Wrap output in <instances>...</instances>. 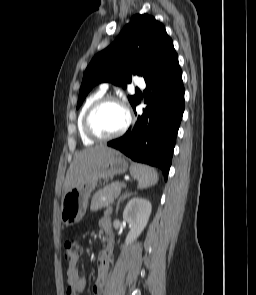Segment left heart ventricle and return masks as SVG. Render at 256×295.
I'll return each mask as SVG.
<instances>
[{
    "label": "left heart ventricle",
    "instance_id": "b2bd125f",
    "mask_svg": "<svg viewBox=\"0 0 256 295\" xmlns=\"http://www.w3.org/2000/svg\"><path fill=\"white\" fill-rule=\"evenodd\" d=\"M126 120L124 110L115 103H106L99 107L91 118L94 132L101 136L114 134L122 128Z\"/></svg>",
    "mask_w": 256,
    "mask_h": 295
}]
</instances>
